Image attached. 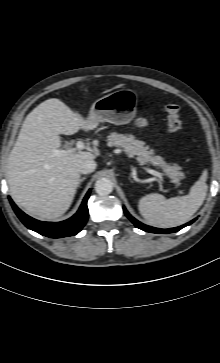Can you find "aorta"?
<instances>
[{"instance_id": "1", "label": "aorta", "mask_w": 220, "mask_h": 363, "mask_svg": "<svg viewBox=\"0 0 220 363\" xmlns=\"http://www.w3.org/2000/svg\"><path fill=\"white\" fill-rule=\"evenodd\" d=\"M113 190V183L108 178H100L95 183V191L101 196L108 195Z\"/></svg>"}]
</instances>
